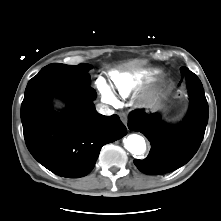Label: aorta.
<instances>
[{"mask_svg": "<svg viewBox=\"0 0 221 221\" xmlns=\"http://www.w3.org/2000/svg\"><path fill=\"white\" fill-rule=\"evenodd\" d=\"M125 148L134 155H141L146 151V143L142 136L138 134L129 135L125 142Z\"/></svg>", "mask_w": 221, "mask_h": 221, "instance_id": "aorta-1", "label": "aorta"}]
</instances>
